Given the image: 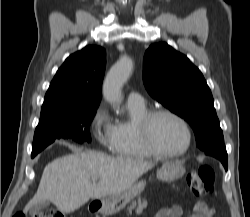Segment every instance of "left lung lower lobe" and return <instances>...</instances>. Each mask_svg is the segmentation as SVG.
I'll list each match as a JSON object with an SVG mask.
<instances>
[{
  "mask_svg": "<svg viewBox=\"0 0 250 217\" xmlns=\"http://www.w3.org/2000/svg\"><path fill=\"white\" fill-rule=\"evenodd\" d=\"M204 152L206 155L213 156V157L219 159L222 162L225 170H227V168H228V155H227L226 148L224 145H221V146H218V147H215L212 149H208Z\"/></svg>",
  "mask_w": 250,
  "mask_h": 217,
  "instance_id": "obj_1",
  "label": "left lung lower lobe"
}]
</instances>
